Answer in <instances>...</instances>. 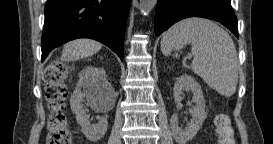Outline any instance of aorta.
<instances>
[{
    "label": "aorta",
    "instance_id": "aorta-1",
    "mask_svg": "<svg viewBox=\"0 0 273 144\" xmlns=\"http://www.w3.org/2000/svg\"><path fill=\"white\" fill-rule=\"evenodd\" d=\"M157 0H140V10L143 14L149 13L156 5Z\"/></svg>",
    "mask_w": 273,
    "mask_h": 144
}]
</instances>
